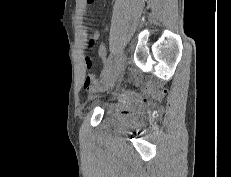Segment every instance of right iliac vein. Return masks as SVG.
Returning a JSON list of instances; mask_svg holds the SVG:
<instances>
[{"label": "right iliac vein", "instance_id": "obj_1", "mask_svg": "<svg viewBox=\"0 0 231 177\" xmlns=\"http://www.w3.org/2000/svg\"><path fill=\"white\" fill-rule=\"evenodd\" d=\"M121 66L122 60L121 58H117L111 66L110 70L104 76L103 80L101 81V84L92 90V94L100 91H105L109 89L111 86H113L120 74ZM90 97L92 98V95Z\"/></svg>", "mask_w": 231, "mask_h": 177}]
</instances>
